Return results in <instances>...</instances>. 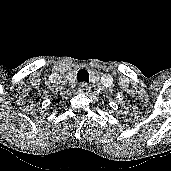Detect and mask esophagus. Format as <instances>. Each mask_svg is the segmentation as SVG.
Returning a JSON list of instances; mask_svg holds the SVG:
<instances>
[{
    "instance_id": "obj_1",
    "label": "esophagus",
    "mask_w": 171,
    "mask_h": 171,
    "mask_svg": "<svg viewBox=\"0 0 171 171\" xmlns=\"http://www.w3.org/2000/svg\"><path fill=\"white\" fill-rule=\"evenodd\" d=\"M89 90H90V87L88 86L87 83H81V84H79V86H78V92H79V93L85 94V93H87Z\"/></svg>"
}]
</instances>
